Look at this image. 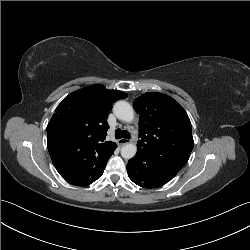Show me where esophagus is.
I'll return each instance as SVG.
<instances>
[{
    "label": "esophagus",
    "mask_w": 250,
    "mask_h": 250,
    "mask_svg": "<svg viewBox=\"0 0 250 250\" xmlns=\"http://www.w3.org/2000/svg\"><path fill=\"white\" fill-rule=\"evenodd\" d=\"M127 143H129V140H128V139L121 138V139L118 140V144H119L120 146H123V145H125V144H127Z\"/></svg>",
    "instance_id": "34e87169"
}]
</instances>
